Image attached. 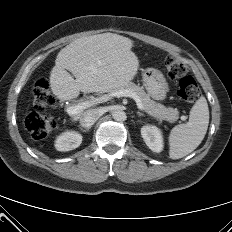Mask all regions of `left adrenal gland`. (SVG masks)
<instances>
[{
	"instance_id": "a2214340",
	"label": "left adrenal gland",
	"mask_w": 232,
	"mask_h": 232,
	"mask_svg": "<svg viewBox=\"0 0 232 232\" xmlns=\"http://www.w3.org/2000/svg\"><path fill=\"white\" fill-rule=\"evenodd\" d=\"M137 115H139V116H144V114L141 113V112H137Z\"/></svg>"
}]
</instances>
